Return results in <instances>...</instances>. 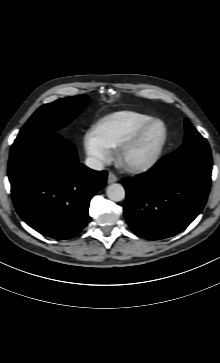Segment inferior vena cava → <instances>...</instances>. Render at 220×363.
Returning <instances> with one entry per match:
<instances>
[{
  "label": "inferior vena cava",
  "instance_id": "1",
  "mask_svg": "<svg viewBox=\"0 0 220 363\" xmlns=\"http://www.w3.org/2000/svg\"><path fill=\"white\" fill-rule=\"evenodd\" d=\"M85 164L93 170L101 171L103 169V163L95 157L86 158Z\"/></svg>",
  "mask_w": 220,
  "mask_h": 363
}]
</instances>
